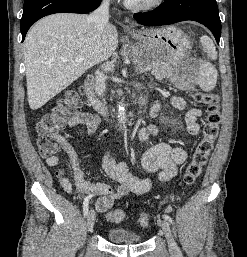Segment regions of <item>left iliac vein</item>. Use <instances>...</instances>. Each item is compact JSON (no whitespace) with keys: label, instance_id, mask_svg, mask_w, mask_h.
<instances>
[{"label":"left iliac vein","instance_id":"1","mask_svg":"<svg viewBox=\"0 0 247 257\" xmlns=\"http://www.w3.org/2000/svg\"><path fill=\"white\" fill-rule=\"evenodd\" d=\"M162 230L168 242L169 250L174 256H180L179 248L173 238L172 231L170 229L169 223L167 221H162Z\"/></svg>","mask_w":247,"mask_h":257}]
</instances>
